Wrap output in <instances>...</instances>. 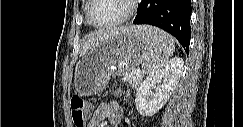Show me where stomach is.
Wrapping results in <instances>:
<instances>
[{
    "label": "stomach",
    "instance_id": "obj_1",
    "mask_svg": "<svg viewBox=\"0 0 243 127\" xmlns=\"http://www.w3.org/2000/svg\"><path fill=\"white\" fill-rule=\"evenodd\" d=\"M137 27L102 38L79 59L74 75L76 92L96 94L105 88L112 74H126L144 62L148 44Z\"/></svg>",
    "mask_w": 243,
    "mask_h": 127
}]
</instances>
